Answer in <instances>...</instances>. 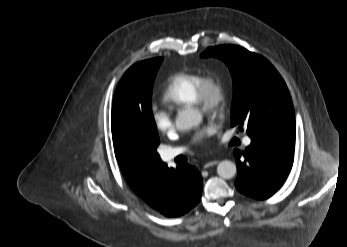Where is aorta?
I'll return each mask as SVG.
<instances>
[{
    "mask_svg": "<svg viewBox=\"0 0 347 247\" xmlns=\"http://www.w3.org/2000/svg\"><path fill=\"white\" fill-rule=\"evenodd\" d=\"M202 121V115L194 109L181 111L175 121L178 130H189L193 126L199 125ZM237 172L236 164L229 160L221 161L217 166V173L221 178L231 179Z\"/></svg>",
    "mask_w": 347,
    "mask_h": 247,
    "instance_id": "obj_1",
    "label": "aorta"
}]
</instances>
